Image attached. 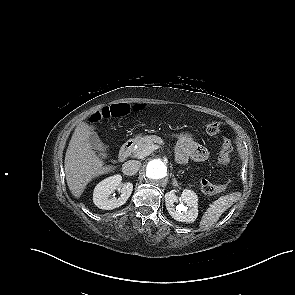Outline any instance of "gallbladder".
<instances>
[{
  "label": "gallbladder",
  "instance_id": "bac80fb5",
  "mask_svg": "<svg viewBox=\"0 0 295 295\" xmlns=\"http://www.w3.org/2000/svg\"><path fill=\"white\" fill-rule=\"evenodd\" d=\"M89 142L93 149L98 151H105L107 149V146L101 141L99 136L96 133H92L89 136Z\"/></svg>",
  "mask_w": 295,
  "mask_h": 295
}]
</instances>
